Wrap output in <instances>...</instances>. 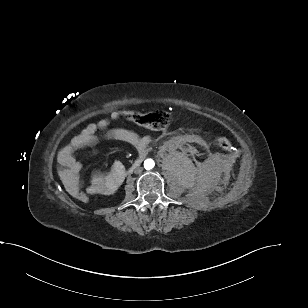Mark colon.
Instances as JSON below:
<instances>
[{"instance_id": "5ec220e1", "label": "colon", "mask_w": 308, "mask_h": 308, "mask_svg": "<svg viewBox=\"0 0 308 308\" xmlns=\"http://www.w3.org/2000/svg\"><path fill=\"white\" fill-rule=\"evenodd\" d=\"M124 116L129 121L153 131H163L167 129L173 120L171 113L167 111H155L148 113L127 112ZM217 144L224 150L231 149V142L226 137H218ZM74 198L85 204L89 201V194L84 190H80L75 193Z\"/></svg>"}]
</instances>
